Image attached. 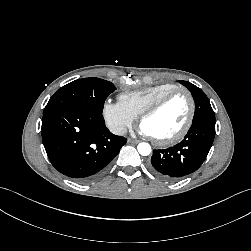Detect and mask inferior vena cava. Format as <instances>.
<instances>
[{"instance_id": "1", "label": "inferior vena cava", "mask_w": 251, "mask_h": 251, "mask_svg": "<svg viewBox=\"0 0 251 251\" xmlns=\"http://www.w3.org/2000/svg\"><path fill=\"white\" fill-rule=\"evenodd\" d=\"M111 132L115 135L123 136L126 134L127 129L124 126H115V127L111 128Z\"/></svg>"}]
</instances>
